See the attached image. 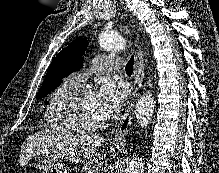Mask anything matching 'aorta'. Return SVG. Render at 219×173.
Wrapping results in <instances>:
<instances>
[{
    "instance_id": "1",
    "label": "aorta",
    "mask_w": 219,
    "mask_h": 173,
    "mask_svg": "<svg viewBox=\"0 0 219 173\" xmlns=\"http://www.w3.org/2000/svg\"><path fill=\"white\" fill-rule=\"evenodd\" d=\"M99 45L105 51L116 52L126 48V40L117 34L105 33L99 37ZM154 112V98L151 93L142 95L135 108V115L140 127L146 128ZM145 160L142 157L135 158L127 166L125 173H143Z\"/></svg>"
}]
</instances>
